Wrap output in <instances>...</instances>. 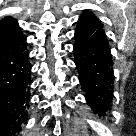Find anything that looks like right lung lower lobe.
<instances>
[{"label":"right lung lower lobe","instance_id":"98d812e1","mask_svg":"<svg viewBox=\"0 0 136 136\" xmlns=\"http://www.w3.org/2000/svg\"><path fill=\"white\" fill-rule=\"evenodd\" d=\"M28 71L26 36L0 41V136L19 134L27 117Z\"/></svg>","mask_w":136,"mask_h":136}]
</instances>
